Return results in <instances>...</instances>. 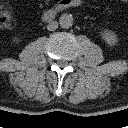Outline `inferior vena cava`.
<instances>
[{
    "mask_svg": "<svg viewBox=\"0 0 128 128\" xmlns=\"http://www.w3.org/2000/svg\"><path fill=\"white\" fill-rule=\"evenodd\" d=\"M58 28V22L57 21H52L47 25V29L49 31H54Z\"/></svg>",
    "mask_w": 128,
    "mask_h": 128,
    "instance_id": "602c4592",
    "label": "inferior vena cava"
}]
</instances>
